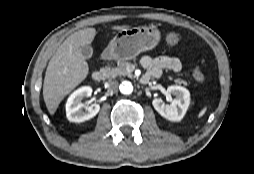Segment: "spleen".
Masks as SVG:
<instances>
[{"mask_svg":"<svg viewBox=\"0 0 254 174\" xmlns=\"http://www.w3.org/2000/svg\"><path fill=\"white\" fill-rule=\"evenodd\" d=\"M206 110H207V108L204 107V108L201 110V112L199 113V117H202V116L205 114Z\"/></svg>","mask_w":254,"mask_h":174,"instance_id":"obj_1","label":"spleen"}]
</instances>
